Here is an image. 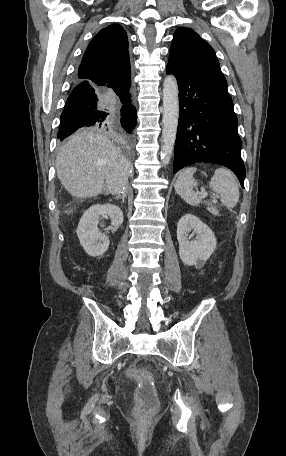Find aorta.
I'll return each instance as SVG.
<instances>
[{
    "instance_id": "1",
    "label": "aorta",
    "mask_w": 286,
    "mask_h": 456,
    "mask_svg": "<svg viewBox=\"0 0 286 456\" xmlns=\"http://www.w3.org/2000/svg\"><path fill=\"white\" fill-rule=\"evenodd\" d=\"M179 90L177 80L173 75H168L163 83V128L161 160L167 165L172 156L179 118Z\"/></svg>"
}]
</instances>
